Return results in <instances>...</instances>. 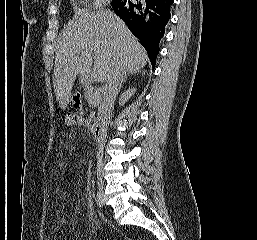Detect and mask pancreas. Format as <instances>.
Instances as JSON below:
<instances>
[{"label":"pancreas","instance_id":"pancreas-1","mask_svg":"<svg viewBox=\"0 0 257 240\" xmlns=\"http://www.w3.org/2000/svg\"><path fill=\"white\" fill-rule=\"evenodd\" d=\"M84 98L85 100H87V102L90 105H93V106L101 105V94L100 93L96 94L91 86H85Z\"/></svg>","mask_w":257,"mask_h":240}]
</instances>
